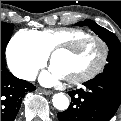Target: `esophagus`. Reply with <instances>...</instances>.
<instances>
[{"label":"esophagus","instance_id":"34e87169","mask_svg":"<svg viewBox=\"0 0 121 121\" xmlns=\"http://www.w3.org/2000/svg\"><path fill=\"white\" fill-rule=\"evenodd\" d=\"M40 91H41L43 94H45V95H51V94H53V92L50 91V90L40 89Z\"/></svg>","mask_w":121,"mask_h":121}]
</instances>
